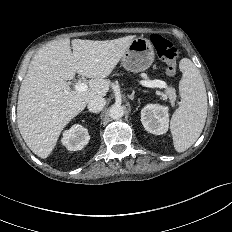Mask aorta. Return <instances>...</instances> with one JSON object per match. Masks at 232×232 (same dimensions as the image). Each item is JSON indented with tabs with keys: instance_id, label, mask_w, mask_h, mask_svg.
Returning a JSON list of instances; mask_svg holds the SVG:
<instances>
[{
	"instance_id": "aorta-1",
	"label": "aorta",
	"mask_w": 232,
	"mask_h": 232,
	"mask_svg": "<svg viewBox=\"0 0 232 232\" xmlns=\"http://www.w3.org/2000/svg\"><path fill=\"white\" fill-rule=\"evenodd\" d=\"M124 115V109L121 105L118 104H114L110 107L109 109V116L114 119V120H118L120 118H122Z\"/></svg>"
}]
</instances>
